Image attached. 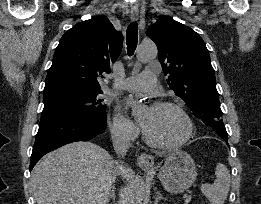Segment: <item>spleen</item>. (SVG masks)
Listing matches in <instances>:
<instances>
[{"instance_id":"3e777b00","label":"spleen","mask_w":261,"mask_h":204,"mask_svg":"<svg viewBox=\"0 0 261 204\" xmlns=\"http://www.w3.org/2000/svg\"><path fill=\"white\" fill-rule=\"evenodd\" d=\"M216 179L213 184H203L201 192L211 204H224L230 187V173L228 168L218 163L215 170Z\"/></svg>"}]
</instances>
